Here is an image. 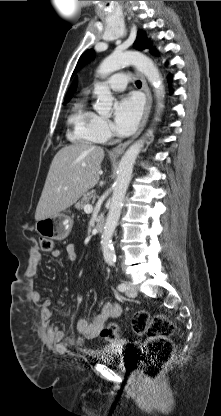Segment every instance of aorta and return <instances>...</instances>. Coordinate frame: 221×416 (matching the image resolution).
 <instances>
[{"mask_svg": "<svg viewBox=\"0 0 221 416\" xmlns=\"http://www.w3.org/2000/svg\"><path fill=\"white\" fill-rule=\"evenodd\" d=\"M130 64L134 65L139 72L144 74L154 87L157 99V113H159L164 107V85L158 68L146 55L137 51L114 52L102 61L98 68V73L102 78H105L109 74L119 70L121 67ZM94 93L97 95L94 109L99 114H108L113 104V96L110 89L104 85H100L95 87ZM157 120H159V118H156V121ZM147 136L149 135L147 134ZM145 140L146 137H143L132 144L122 156L118 166L110 209L101 237L103 256L108 265H113L116 261L112 237L121 215L123 201L132 177L134 163L144 146Z\"/></svg>", "mask_w": 221, "mask_h": 416, "instance_id": "aorta-1", "label": "aorta"}]
</instances>
